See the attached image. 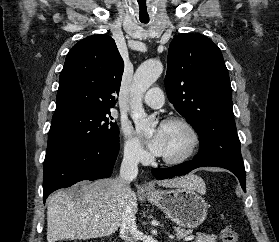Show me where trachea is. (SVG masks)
Wrapping results in <instances>:
<instances>
[{"label": "trachea", "instance_id": "obj_1", "mask_svg": "<svg viewBox=\"0 0 279 242\" xmlns=\"http://www.w3.org/2000/svg\"><path fill=\"white\" fill-rule=\"evenodd\" d=\"M142 23H148V21H142Z\"/></svg>", "mask_w": 279, "mask_h": 242}]
</instances>
